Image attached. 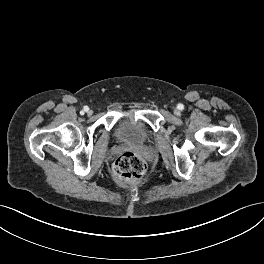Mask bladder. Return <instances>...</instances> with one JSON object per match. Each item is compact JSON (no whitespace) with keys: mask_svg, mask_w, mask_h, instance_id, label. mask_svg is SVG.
I'll return each mask as SVG.
<instances>
[{"mask_svg":"<svg viewBox=\"0 0 264 264\" xmlns=\"http://www.w3.org/2000/svg\"><path fill=\"white\" fill-rule=\"evenodd\" d=\"M114 136L122 144L142 147L152 140L153 132L144 120L122 115L115 124Z\"/></svg>","mask_w":264,"mask_h":264,"instance_id":"1","label":"bladder"}]
</instances>
